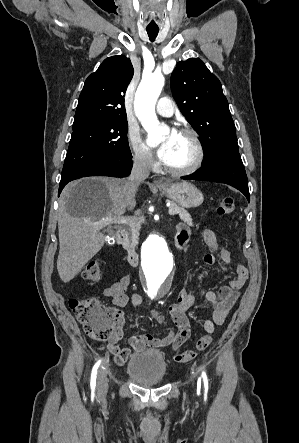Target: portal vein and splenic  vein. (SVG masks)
<instances>
[{
    "mask_svg": "<svg viewBox=\"0 0 299 443\" xmlns=\"http://www.w3.org/2000/svg\"><path fill=\"white\" fill-rule=\"evenodd\" d=\"M168 214L171 215V216H173V215L176 214V212H175L173 209H170V208H169ZM133 220H134V218L132 219V218H129V217H123V216H120V217H118V218L107 217V218H103V219H101V220L98 221V222H94V223H91V224H92L94 227H96V228H102V227H104L105 225L110 224V223H112V224H113V223H114V224H127V223H131Z\"/></svg>",
    "mask_w": 299,
    "mask_h": 443,
    "instance_id": "18ae733b",
    "label": "portal vein and splenic vein"
}]
</instances>
